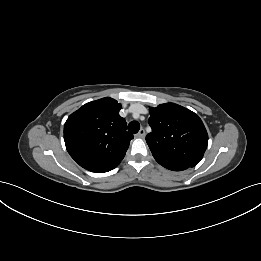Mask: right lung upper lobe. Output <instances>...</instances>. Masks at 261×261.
<instances>
[{
    "label": "right lung upper lobe",
    "mask_w": 261,
    "mask_h": 261,
    "mask_svg": "<svg viewBox=\"0 0 261 261\" xmlns=\"http://www.w3.org/2000/svg\"><path fill=\"white\" fill-rule=\"evenodd\" d=\"M115 99L88 102L72 113L64 125V141L70 156L81 166L121 162L133 135Z\"/></svg>",
    "instance_id": "right-lung-upper-lobe-1"
}]
</instances>
